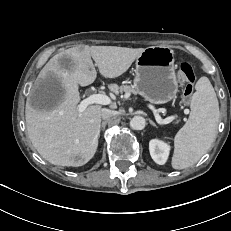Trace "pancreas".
Returning <instances> with one entry per match:
<instances>
[{"label":"pancreas","mask_w":231,"mask_h":231,"mask_svg":"<svg viewBox=\"0 0 231 231\" xmlns=\"http://www.w3.org/2000/svg\"><path fill=\"white\" fill-rule=\"evenodd\" d=\"M118 90H119V92H125V93H133V94H135L136 93V91H135V89L133 88V87H131V86H128V85H122L121 87H118L117 88Z\"/></svg>","instance_id":"1"}]
</instances>
